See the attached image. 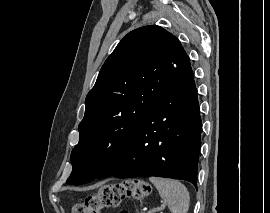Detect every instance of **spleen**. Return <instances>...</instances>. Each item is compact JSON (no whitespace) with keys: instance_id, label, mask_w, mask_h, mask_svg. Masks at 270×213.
<instances>
[{"instance_id":"1","label":"spleen","mask_w":270,"mask_h":213,"mask_svg":"<svg viewBox=\"0 0 270 213\" xmlns=\"http://www.w3.org/2000/svg\"><path fill=\"white\" fill-rule=\"evenodd\" d=\"M149 180L157 188L161 198L168 205L172 213H187L189 210V192L177 180L150 177Z\"/></svg>"}]
</instances>
